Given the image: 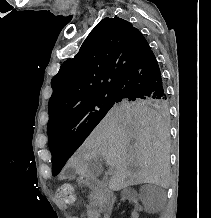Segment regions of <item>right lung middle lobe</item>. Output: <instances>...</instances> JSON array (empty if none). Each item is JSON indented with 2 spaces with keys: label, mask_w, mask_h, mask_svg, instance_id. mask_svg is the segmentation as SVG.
<instances>
[{
  "label": "right lung middle lobe",
  "mask_w": 211,
  "mask_h": 218,
  "mask_svg": "<svg viewBox=\"0 0 211 218\" xmlns=\"http://www.w3.org/2000/svg\"><path fill=\"white\" fill-rule=\"evenodd\" d=\"M114 105H148L161 112L168 110L167 98H123L113 91L104 92L60 116L47 128L49 147L74 144L78 148ZM65 162H52V174L57 175Z\"/></svg>",
  "instance_id": "1"
}]
</instances>
